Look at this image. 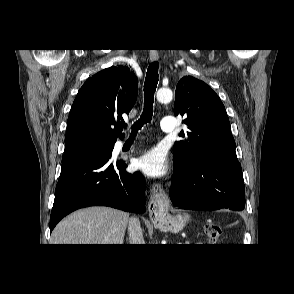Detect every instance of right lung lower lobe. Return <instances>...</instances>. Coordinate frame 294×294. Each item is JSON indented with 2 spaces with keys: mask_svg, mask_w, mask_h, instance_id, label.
Masks as SVG:
<instances>
[{
  "mask_svg": "<svg viewBox=\"0 0 294 294\" xmlns=\"http://www.w3.org/2000/svg\"><path fill=\"white\" fill-rule=\"evenodd\" d=\"M111 153L86 152L62 158L50 216V232L69 213L88 206H110L144 212L145 179L127 173L122 161L110 163Z\"/></svg>",
  "mask_w": 294,
  "mask_h": 294,
  "instance_id": "1",
  "label": "right lung lower lobe"
}]
</instances>
